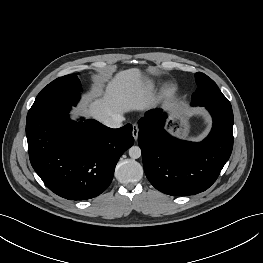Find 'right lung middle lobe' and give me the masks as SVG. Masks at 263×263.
<instances>
[{
	"label": "right lung middle lobe",
	"instance_id": "obj_1",
	"mask_svg": "<svg viewBox=\"0 0 263 263\" xmlns=\"http://www.w3.org/2000/svg\"><path fill=\"white\" fill-rule=\"evenodd\" d=\"M82 90L76 74L55 79L41 90L30 108L26 122L57 105L75 106Z\"/></svg>",
	"mask_w": 263,
	"mask_h": 263
}]
</instances>
